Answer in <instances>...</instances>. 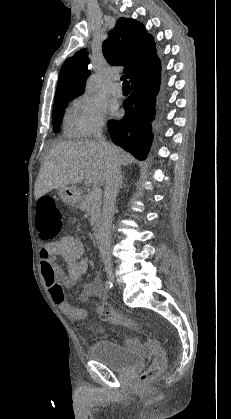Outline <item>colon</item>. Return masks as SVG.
<instances>
[{
  "instance_id": "5ec220e1",
  "label": "colon",
  "mask_w": 231,
  "mask_h": 419,
  "mask_svg": "<svg viewBox=\"0 0 231 419\" xmlns=\"http://www.w3.org/2000/svg\"><path fill=\"white\" fill-rule=\"evenodd\" d=\"M62 214L53 197L43 196L38 201L37 206V228L40 238L49 241L58 236L62 228ZM101 320L110 322L114 325L132 328L135 323L132 319L114 312L108 305L98 308ZM153 350L155 358L152 364L141 374L139 378L140 386H147L156 377L161 375L166 367V358L158 340H153Z\"/></svg>"
}]
</instances>
